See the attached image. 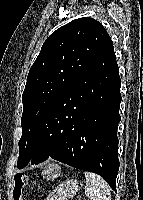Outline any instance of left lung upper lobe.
Returning a JSON list of instances; mask_svg holds the SVG:
<instances>
[{
    "instance_id": "5c2ea615",
    "label": "left lung upper lobe",
    "mask_w": 143,
    "mask_h": 200,
    "mask_svg": "<svg viewBox=\"0 0 143 200\" xmlns=\"http://www.w3.org/2000/svg\"><path fill=\"white\" fill-rule=\"evenodd\" d=\"M110 42L111 38L105 28L88 17L69 22L46 39L29 70L22 94V136L17 162L19 169L24 168L33 156L37 134L46 114ZM66 111L64 109L59 112L58 120Z\"/></svg>"
}]
</instances>
